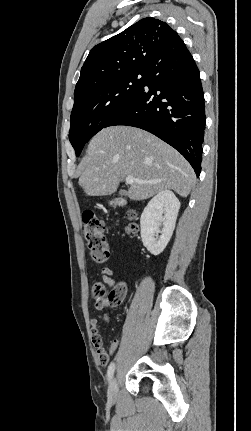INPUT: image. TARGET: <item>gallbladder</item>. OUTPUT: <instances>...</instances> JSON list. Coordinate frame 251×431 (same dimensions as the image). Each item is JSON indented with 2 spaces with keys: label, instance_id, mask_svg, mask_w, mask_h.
<instances>
[{
  "label": "gallbladder",
  "instance_id": "obj_1",
  "mask_svg": "<svg viewBox=\"0 0 251 431\" xmlns=\"http://www.w3.org/2000/svg\"><path fill=\"white\" fill-rule=\"evenodd\" d=\"M119 194H120V195H125V194H126V191H125V190H120V191H119Z\"/></svg>",
  "mask_w": 251,
  "mask_h": 431
}]
</instances>
